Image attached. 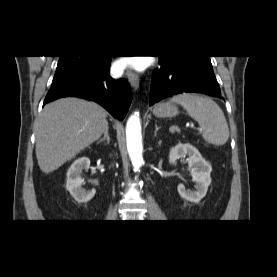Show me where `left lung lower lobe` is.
Returning <instances> with one entry per match:
<instances>
[{"label": "left lung lower lobe", "mask_w": 277, "mask_h": 277, "mask_svg": "<svg viewBox=\"0 0 277 277\" xmlns=\"http://www.w3.org/2000/svg\"><path fill=\"white\" fill-rule=\"evenodd\" d=\"M159 64L152 75L150 105L182 92L222 98L210 60L169 56L159 58Z\"/></svg>", "instance_id": "1"}]
</instances>
